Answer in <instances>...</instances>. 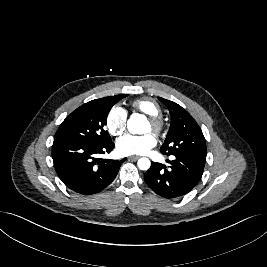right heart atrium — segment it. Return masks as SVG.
<instances>
[{
    "label": "right heart atrium",
    "mask_w": 267,
    "mask_h": 267,
    "mask_svg": "<svg viewBox=\"0 0 267 267\" xmlns=\"http://www.w3.org/2000/svg\"><path fill=\"white\" fill-rule=\"evenodd\" d=\"M127 111L120 105L113 106L106 116V127L114 135H121L127 125Z\"/></svg>",
    "instance_id": "obj_1"
}]
</instances>
